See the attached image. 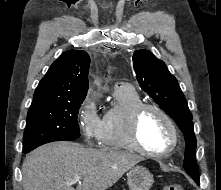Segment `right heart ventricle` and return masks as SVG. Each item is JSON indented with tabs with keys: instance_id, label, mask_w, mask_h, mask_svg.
I'll return each mask as SVG.
<instances>
[{
	"instance_id": "obj_1",
	"label": "right heart ventricle",
	"mask_w": 221,
	"mask_h": 190,
	"mask_svg": "<svg viewBox=\"0 0 221 190\" xmlns=\"http://www.w3.org/2000/svg\"><path fill=\"white\" fill-rule=\"evenodd\" d=\"M116 104L101 119L100 142L102 147L115 150L136 151L128 138V120L132 109L143 103L137 90L129 84L114 87Z\"/></svg>"
}]
</instances>
